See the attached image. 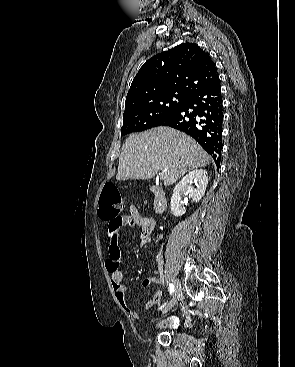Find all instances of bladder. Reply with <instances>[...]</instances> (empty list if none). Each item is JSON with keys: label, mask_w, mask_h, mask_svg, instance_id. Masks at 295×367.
<instances>
[{"label": "bladder", "mask_w": 295, "mask_h": 367, "mask_svg": "<svg viewBox=\"0 0 295 367\" xmlns=\"http://www.w3.org/2000/svg\"><path fill=\"white\" fill-rule=\"evenodd\" d=\"M173 324V321H159L158 323H157V327L158 328H163V327H165V326H171Z\"/></svg>", "instance_id": "31cf9c89"}]
</instances>
